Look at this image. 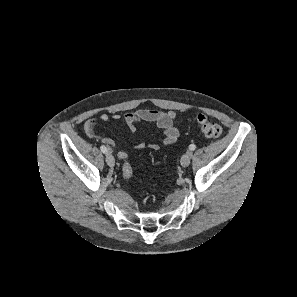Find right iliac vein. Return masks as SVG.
<instances>
[{
    "label": "right iliac vein",
    "mask_w": 297,
    "mask_h": 297,
    "mask_svg": "<svg viewBox=\"0 0 297 297\" xmlns=\"http://www.w3.org/2000/svg\"><path fill=\"white\" fill-rule=\"evenodd\" d=\"M106 163L110 167H113L115 165V159L111 153L106 154Z\"/></svg>",
    "instance_id": "63e3f726"
}]
</instances>
